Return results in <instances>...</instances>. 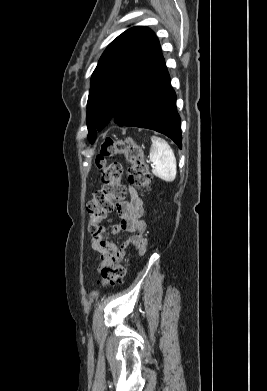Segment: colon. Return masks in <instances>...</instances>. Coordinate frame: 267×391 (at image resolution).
Returning <instances> with one entry per match:
<instances>
[{
	"label": "colon",
	"mask_w": 267,
	"mask_h": 391,
	"mask_svg": "<svg viewBox=\"0 0 267 391\" xmlns=\"http://www.w3.org/2000/svg\"><path fill=\"white\" fill-rule=\"evenodd\" d=\"M123 154L130 164L128 180L131 184L148 188L152 176L144 160L143 148L131 137L122 140L107 138L101 145L95 158V164L102 181V188L96 191L87 205L88 230L93 236L102 229L101 223L112 211L115 202L122 201L126 196V188L121 183L122 165L119 162H109L110 158ZM126 269L123 265L113 264L101 270V283L106 286L122 281Z\"/></svg>",
	"instance_id": "obj_1"
}]
</instances>
